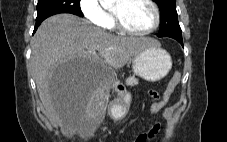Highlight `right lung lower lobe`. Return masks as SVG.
Masks as SVG:
<instances>
[{"instance_id": "1", "label": "right lung lower lobe", "mask_w": 227, "mask_h": 142, "mask_svg": "<svg viewBox=\"0 0 227 142\" xmlns=\"http://www.w3.org/2000/svg\"><path fill=\"white\" fill-rule=\"evenodd\" d=\"M44 19L41 20H36V24H35V28H34V32L36 31V29L38 28V26L40 25V23L43 21ZM33 32V33H34Z\"/></svg>"}]
</instances>
